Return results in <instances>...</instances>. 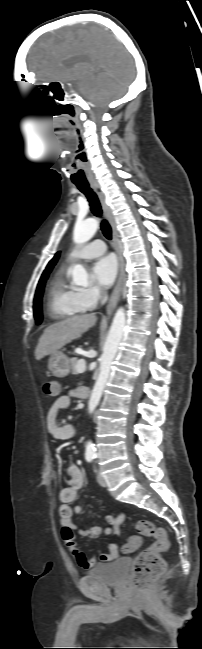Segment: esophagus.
Segmentation results:
<instances>
[{
	"label": "esophagus",
	"instance_id": "esophagus-1",
	"mask_svg": "<svg viewBox=\"0 0 202 649\" xmlns=\"http://www.w3.org/2000/svg\"><path fill=\"white\" fill-rule=\"evenodd\" d=\"M90 186L96 192V194H97V196H98V198L100 200L103 212H104V214H105V216H106V218L109 221V224L111 226L112 235H113V241H114V245H115V249H116V253H117V257H118V262H119L118 280H117L115 288H114V290H113V292L111 294V297H110L109 302H108L107 307H106L107 314H110V313H112V311L116 307L117 302H118V300L120 298L121 290H122V284H123V278H124L123 258H122L120 248L118 247V244H117L118 232H117V228H116L115 219H114V216L112 214V211H111L110 207L107 205L105 194H104L100 184L97 181H90Z\"/></svg>",
	"mask_w": 202,
	"mask_h": 649
}]
</instances>
